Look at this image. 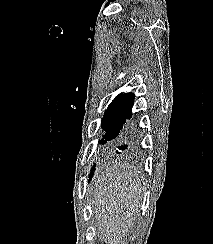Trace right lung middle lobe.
<instances>
[{
  "mask_svg": "<svg viewBox=\"0 0 213 244\" xmlns=\"http://www.w3.org/2000/svg\"><path fill=\"white\" fill-rule=\"evenodd\" d=\"M134 98L116 97L105 111L102 120V128L106 132L99 142L105 144L108 141L116 140L124 131L126 119L132 116Z\"/></svg>",
  "mask_w": 213,
  "mask_h": 244,
  "instance_id": "1",
  "label": "right lung middle lobe"
}]
</instances>
